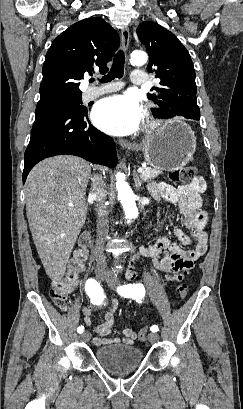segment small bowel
<instances>
[{"label":"small bowel","mask_w":243,"mask_h":409,"mask_svg":"<svg viewBox=\"0 0 243 409\" xmlns=\"http://www.w3.org/2000/svg\"><path fill=\"white\" fill-rule=\"evenodd\" d=\"M206 190L203 178L197 177L191 183L174 187L165 182L153 183L151 192L156 199H165L178 205L184 219V225L190 230L186 234L180 227H175L173 233L183 245H191L195 241V247L184 250L178 244L168 238L160 237L154 244L142 247L141 253L152 259L154 266L165 273V278L170 283L180 282L185 279V271L191 270L198 259L207 251L208 235L206 226L208 216L203 209L204 201L202 194ZM134 278L136 274L130 272ZM84 322L87 326L92 325L93 313L90 308L83 309ZM115 315V301L111 300L105 311L104 321L92 326L93 343L97 346L123 343L132 345L138 335L130 328L122 330V336L113 328ZM107 335H113L106 338Z\"/></svg>","instance_id":"obj_1"}]
</instances>
